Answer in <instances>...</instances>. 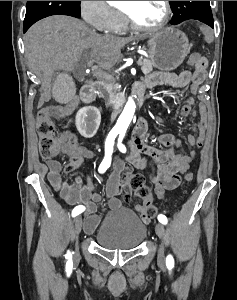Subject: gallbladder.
<instances>
[{"mask_svg":"<svg viewBox=\"0 0 237 300\" xmlns=\"http://www.w3.org/2000/svg\"><path fill=\"white\" fill-rule=\"evenodd\" d=\"M68 72H59L56 77L55 87L53 88L54 101L58 105H69L75 94V83Z\"/></svg>","mask_w":237,"mask_h":300,"instance_id":"obj_1","label":"gallbladder"}]
</instances>
